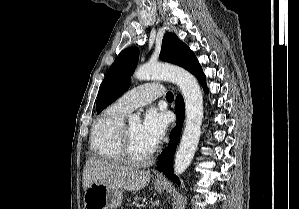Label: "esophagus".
<instances>
[{
	"label": "esophagus",
	"instance_id": "esophagus-1",
	"mask_svg": "<svg viewBox=\"0 0 299 209\" xmlns=\"http://www.w3.org/2000/svg\"><path fill=\"white\" fill-rule=\"evenodd\" d=\"M163 177L161 175H157V180H162Z\"/></svg>",
	"mask_w": 299,
	"mask_h": 209
}]
</instances>
